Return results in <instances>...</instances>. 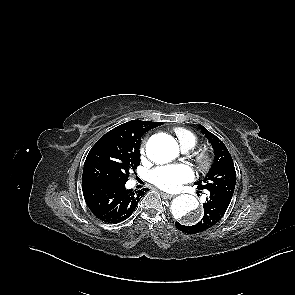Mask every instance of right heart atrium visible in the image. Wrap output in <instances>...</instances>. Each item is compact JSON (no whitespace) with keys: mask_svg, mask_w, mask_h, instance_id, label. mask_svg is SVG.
<instances>
[{"mask_svg":"<svg viewBox=\"0 0 295 295\" xmlns=\"http://www.w3.org/2000/svg\"><path fill=\"white\" fill-rule=\"evenodd\" d=\"M140 152L142 155L145 154V144L142 145L141 149H140Z\"/></svg>","mask_w":295,"mask_h":295,"instance_id":"obj_1","label":"right heart atrium"}]
</instances>
